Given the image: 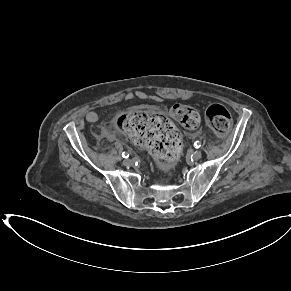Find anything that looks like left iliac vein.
Masks as SVG:
<instances>
[{"label": "left iliac vein", "instance_id": "4c4485c4", "mask_svg": "<svg viewBox=\"0 0 291 291\" xmlns=\"http://www.w3.org/2000/svg\"><path fill=\"white\" fill-rule=\"evenodd\" d=\"M201 157H202V152H201V151L196 150V151L193 153V159H194L195 161L199 160Z\"/></svg>", "mask_w": 291, "mask_h": 291}]
</instances>
